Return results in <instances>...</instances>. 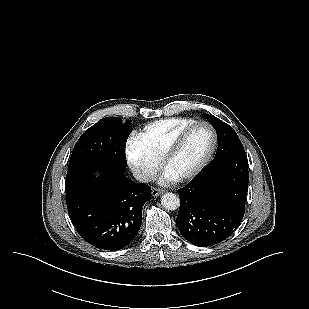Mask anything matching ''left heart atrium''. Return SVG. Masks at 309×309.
<instances>
[{"label": "left heart atrium", "mask_w": 309, "mask_h": 309, "mask_svg": "<svg viewBox=\"0 0 309 309\" xmlns=\"http://www.w3.org/2000/svg\"><path fill=\"white\" fill-rule=\"evenodd\" d=\"M176 180V176L173 175L171 172H169L168 170H166V172L163 174V176L161 177V182L162 183H169Z\"/></svg>", "instance_id": "left-heart-atrium-1"}]
</instances>
